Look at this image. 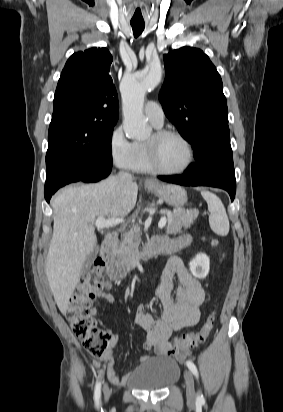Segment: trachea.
Returning <instances> with one entry per match:
<instances>
[{"label":"trachea","instance_id":"3493384b","mask_svg":"<svg viewBox=\"0 0 283 412\" xmlns=\"http://www.w3.org/2000/svg\"><path fill=\"white\" fill-rule=\"evenodd\" d=\"M131 26L133 29L134 36L137 37L144 30L145 24L144 23H131Z\"/></svg>","mask_w":283,"mask_h":412}]
</instances>
